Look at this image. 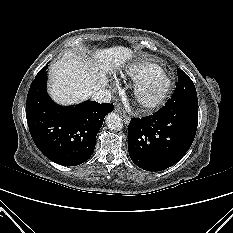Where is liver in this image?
Listing matches in <instances>:
<instances>
[{
  "instance_id": "6515ba94",
  "label": "liver",
  "mask_w": 233,
  "mask_h": 233,
  "mask_svg": "<svg viewBox=\"0 0 233 233\" xmlns=\"http://www.w3.org/2000/svg\"><path fill=\"white\" fill-rule=\"evenodd\" d=\"M91 55L86 57L68 51L50 67L49 93L55 102L70 105L87 100L107 85L106 74L124 65L133 52L129 48L115 46L97 49Z\"/></svg>"
}]
</instances>
